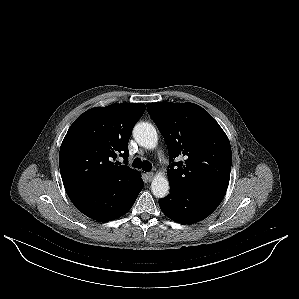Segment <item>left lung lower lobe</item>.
<instances>
[{"label": "left lung lower lobe", "mask_w": 299, "mask_h": 299, "mask_svg": "<svg viewBox=\"0 0 299 299\" xmlns=\"http://www.w3.org/2000/svg\"><path fill=\"white\" fill-rule=\"evenodd\" d=\"M226 191L200 186H170V194L159 200L170 219L191 224L205 219L221 203Z\"/></svg>", "instance_id": "obj_1"}]
</instances>
